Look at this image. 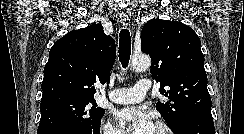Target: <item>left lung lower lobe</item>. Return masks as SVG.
<instances>
[{
    "mask_svg": "<svg viewBox=\"0 0 244 134\" xmlns=\"http://www.w3.org/2000/svg\"><path fill=\"white\" fill-rule=\"evenodd\" d=\"M174 134H215L213 119L189 117L172 130Z\"/></svg>",
    "mask_w": 244,
    "mask_h": 134,
    "instance_id": "0a47b994",
    "label": "left lung lower lobe"
}]
</instances>
